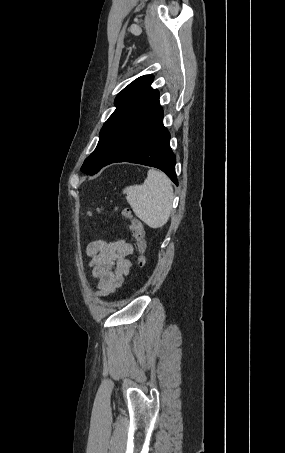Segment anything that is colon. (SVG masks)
<instances>
[{
	"label": "colon",
	"instance_id": "colon-1",
	"mask_svg": "<svg viewBox=\"0 0 285 453\" xmlns=\"http://www.w3.org/2000/svg\"><path fill=\"white\" fill-rule=\"evenodd\" d=\"M123 217L130 221L131 223V231L135 238L137 248L139 251V255L137 258V263L140 267H143L146 264V230L143 222L137 218H135L131 211L127 208L121 211Z\"/></svg>",
	"mask_w": 285,
	"mask_h": 453
}]
</instances>
